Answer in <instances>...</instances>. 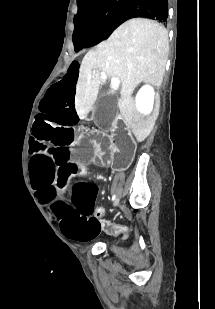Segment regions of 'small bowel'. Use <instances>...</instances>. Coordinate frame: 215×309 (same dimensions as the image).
Masks as SVG:
<instances>
[{
  "label": "small bowel",
  "instance_id": "c3829d8e",
  "mask_svg": "<svg viewBox=\"0 0 215 309\" xmlns=\"http://www.w3.org/2000/svg\"><path fill=\"white\" fill-rule=\"evenodd\" d=\"M102 210V208H97V210H96V212L94 213V216H93V219H98V218H100V216H98V212L99 211H101ZM95 228V227H94Z\"/></svg>",
  "mask_w": 215,
  "mask_h": 309
}]
</instances>
